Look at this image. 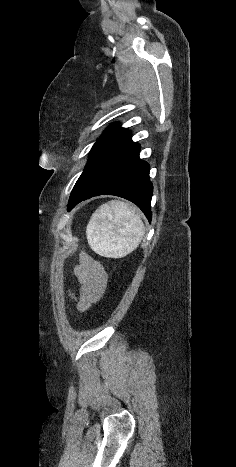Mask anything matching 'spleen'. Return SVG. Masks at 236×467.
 I'll list each match as a JSON object with an SVG mask.
<instances>
[{
  "instance_id": "spleen-1",
  "label": "spleen",
  "mask_w": 236,
  "mask_h": 467,
  "mask_svg": "<svg viewBox=\"0 0 236 467\" xmlns=\"http://www.w3.org/2000/svg\"><path fill=\"white\" fill-rule=\"evenodd\" d=\"M86 235L97 254L121 258L138 247L144 235V224L135 209L113 200L100 206L91 216Z\"/></svg>"
}]
</instances>
